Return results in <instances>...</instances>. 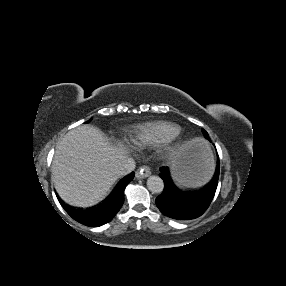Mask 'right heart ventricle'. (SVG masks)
Returning a JSON list of instances; mask_svg holds the SVG:
<instances>
[{
    "instance_id": "right-heart-ventricle-1",
    "label": "right heart ventricle",
    "mask_w": 286,
    "mask_h": 286,
    "mask_svg": "<svg viewBox=\"0 0 286 286\" xmlns=\"http://www.w3.org/2000/svg\"><path fill=\"white\" fill-rule=\"evenodd\" d=\"M181 133L179 125L168 121H152L139 124L131 132V141L137 146L168 144Z\"/></svg>"
}]
</instances>
